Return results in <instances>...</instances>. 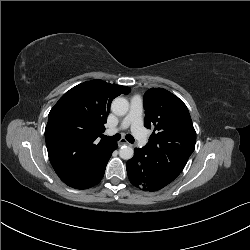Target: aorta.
Returning a JSON list of instances; mask_svg holds the SVG:
<instances>
[{"mask_svg": "<svg viewBox=\"0 0 250 250\" xmlns=\"http://www.w3.org/2000/svg\"><path fill=\"white\" fill-rule=\"evenodd\" d=\"M111 110L115 115L123 116L129 110V103L125 98H115L111 104ZM134 150L130 146H122L119 150V156L124 160H129L133 157Z\"/></svg>", "mask_w": 250, "mask_h": 250, "instance_id": "1", "label": "aorta"}]
</instances>
